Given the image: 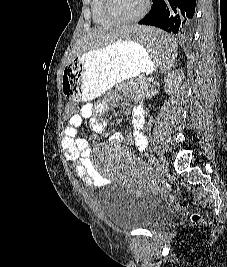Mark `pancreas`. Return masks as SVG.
I'll list each match as a JSON object with an SVG mask.
<instances>
[{"mask_svg":"<svg viewBox=\"0 0 227 267\" xmlns=\"http://www.w3.org/2000/svg\"><path fill=\"white\" fill-rule=\"evenodd\" d=\"M149 85V80L147 78L129 80L125 83H122L121 86L123 87H131L140 93H144Z\"/></svg>","mask_w":227,"mask_h":267,"instance_id":"pancreas-1","label":"pancreas"}]
</instances>
